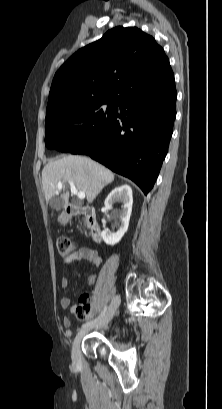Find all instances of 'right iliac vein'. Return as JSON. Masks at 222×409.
Instances as JSON below:
<instances>
[{
    "mask_svg": "<svg viewBox=\"0 0 222 409\" xmlns=\"http://www.w3.org/2000/svg\"><path fill=\"white\" fill-rule=\"evenodd\" d=\"M120 305V297L118 295H116L112 301L111 304L107 310V312L105 313V315L101 318L100 321H98L95 325L96 328L99 327H103L105 325H107L112 318L114 317L118 307ZM89 329H83L80 332H78V334L76 335L74 341H73V345H72V359L74 362H77L80 358V343L83 339V337L86 335V333H88Z\"/></svg>",
    "mask_w": 222,
    "mask_h": 409,
    "instance_id": "right-iliac-vein-1",
    "label": "right iliac vein"
}]
</instances>
